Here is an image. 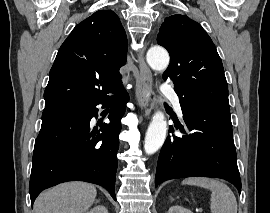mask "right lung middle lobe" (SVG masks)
I'll return each mask as SVG.
<instances>
[{"instance_id":"right-lung-middle-lobe-1","label":"right lung middle lobe","mask_w":270,"mask_h":213,"mask_svg":"<svg viewBox=\"0 0 270 213\" xmlns=\"http://www.w3.org/2000/svg\"><path fill=\"white\" fill-rule=\"evenodd\" d=\"M67 105H79V104L78 103H64V104H58V105H54V106H67Z\"/></svg>"}]
</instances>
